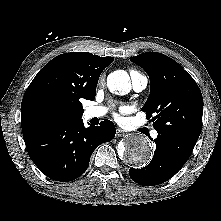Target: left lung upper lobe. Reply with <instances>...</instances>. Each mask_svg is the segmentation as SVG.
Wrapping results in <instances>:
<instances>
[{
	"label": "left lung upper lobe",
	"instance_id": "1",
	"mask_svg": "<svg viewBox=\"0 0 221 221\" xmlns=\"http://www.w3.org/2000/svg\"><path fill=\"white\" fill-rule=\"evenodd\" d=\"M149 75L150 95L142 107L158 134L196 143L202 128L203 98L194 79L173 59L147 52L131 57Z\"/></svg>",
	"mask_w": 221,
	"mask_h": 221
}]
</instances>
